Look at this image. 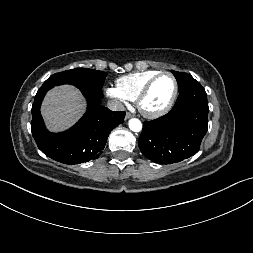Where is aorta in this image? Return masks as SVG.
<instances>
[{
  "instance_id": "aorta-1",
  "label": "aorta",
  "mask_w": 253,
  "mask_h": 253,
  "mask_svg": "<svg viewBox=\"0 0 253 253\" xmlns=\"http://www.w3.org/2000/svg\"><path fill=\"white\" fill-rule=\"evenodd\" d=\"M128 125H129L130 130H132L133 132H139L142 129L141 121L136 118L130 119Z\"/></svg>"
}]
</instances>
